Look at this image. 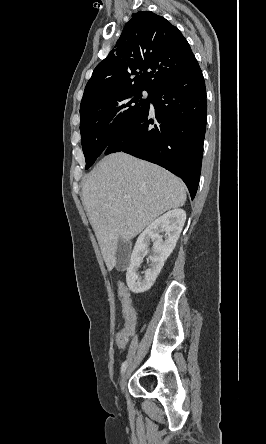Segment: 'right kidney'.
Segmentation results:
<instances>
[{
	"label": "right kidney",
	"instance_id": "1",
	"mask_svg": "<svg viewBox=\"0 0 266 444\" xmlns=\"http://www.w3.org/2000/svg\"><path fill=\"white\" fill-rule=\"evenodd\" d=\"M185 220L186 212L174 209L157 218L139 235L126 273V282L130 291L142 293L152 287L166 259L175 248ZM161 233H165L164 240ZM150 242L153 243L150 267L144 271L143 278H138V268L142 258L149 253Z\"/></svg>",
	"mask_w": 266,
	"mask_h": 444
}]
</instances>
